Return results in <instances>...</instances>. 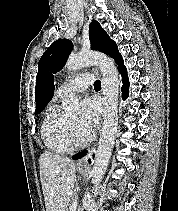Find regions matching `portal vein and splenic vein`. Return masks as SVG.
<instances>
[{
  "instance_id": "portal-vein-and-splenic-vein-1",
  "label": "portal vein and splenic vein",
  "mask_w": 178,
  "mask_h": 211,
  "mask_svg": "<svg viewBox=\"0 0 178 211\" xmlns=\"http://www.w3.org/2000/svg\"><path fill=\"white\" fill-rule=\"evenodd\" d=\"M77 201H75L73 204H72V209L75 211L76 207H77Z\"/></svg>"
}]
</instances>
